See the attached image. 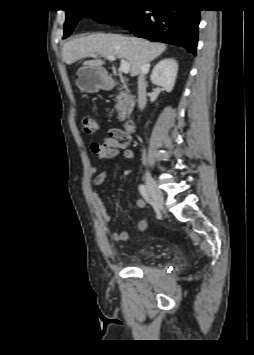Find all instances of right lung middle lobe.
Returning a JSON list of instances; mask_svg holds the SVG:
<instances>
[{"label":"right lung middle lobe","mask_w":254,"mask_h":355,"mask_svg":"<svg viewBox=\"0 0 254 355\" xmlns=\"http://www.w3.org/2000/svg\"><path fill=\"white\" fill-rule=\"evenodd\" d=\"M140 0H127L124 6L114 9H78V10H66V22L64 25L63 39L68 37L77 22L86 15H92L93 18L102 23L113 24L119 19L126 16L136 2Z\"/></svg>","instance_id":"1"}]
</instances>
